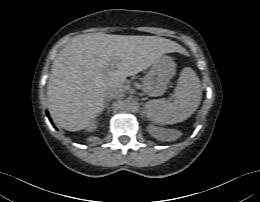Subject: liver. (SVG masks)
Listing matches in <instances>:
<instances>
[{
    "mask_svg": "<svg viewBox=\"0 0 260 202\" xmlns=\"http://www.w3.org/2000/svg\"><path fill=\"white\" fill-rule=\"evenodd\" d=\"M182 50L176 42L157 36H76L58 54L51 68L47 86L51 117L68 131L89 127L105 108L108 89L122 88L126 77L145 70L165 53ZM112 62L116 69L107 71Z\"/></svg>",
    "mask_w": 260,
    "mask_h": 202,
    "instance_id": "1",
    "label": "liver"
}]
</instances>
